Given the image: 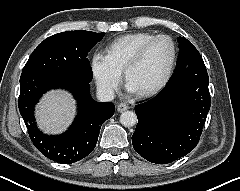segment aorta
Segmentation results:
<instances>
[{
    "instance_id": "1",
    "label": "aorta",
    "mask_w": 240,
    "mask_h": 191,
    "mask_svg": "<svg viewBox=\"0 0 240 191\" xmlns=\"http://www.w3.org/2000/svg\"><path fill=\"white\" fill-rule=\"evenodd\" d=\"M137 122V115L133 111H125L120 116V123L125 127H132Z\"/></svg>"
}]
</instances>
